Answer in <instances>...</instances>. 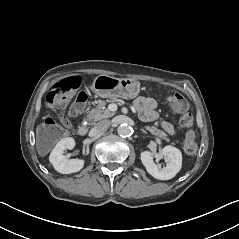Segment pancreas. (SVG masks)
Wrapping results in <instances>:
<instances>
[{"label":"pancreas","mask_w":239,"mask_h":239,"mask_svg":"<svg viewBox=\"0 0 239 239\" xmlns=\"http://www.w3.org/2000/svg\"><path fill=\"white\" fill-rule=\"evenodd\" d=\"M105 106L106 102L103 100H99L98 105L89 112L87 118L91 124L94 125L99 120L110 118L115 115V112L109 111L105 108ZM145 129L148 130L152 135H155L160 139L166 140L167 142L170 141L167 138V134L155 126H146Z\"/></svg>","instance_id":"cf45deb5"}]
</instances>
